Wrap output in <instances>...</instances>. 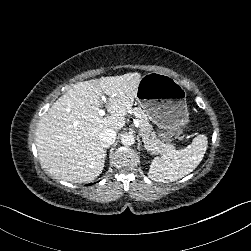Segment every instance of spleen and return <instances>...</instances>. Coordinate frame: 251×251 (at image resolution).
I'll return each mask as SVG.
<instances>
[{
    "instance_id": "1",
    "label": "spleen",
    "mask_w": 251,
    "mask_h": 251,
    "mask_svg": "<svg viewBox=\"0 0 251 251\" xmlns=\"http://www.w3.org/2000/svg\"><path fill=\"white\" fill-rule=\"evenodd\" d=\"M207 145V137L201 134L184 151L172 150L161 158L156 157L150 166L148 177L157 182H169L188 175L203 159Z\"/></svg>"
}]
</instances>
